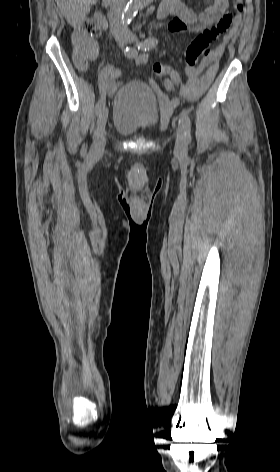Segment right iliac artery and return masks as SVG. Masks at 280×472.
I'll return each mask as SVG.
<instances>
[{
    "label": "right iliac artery",
    "instance_id": "82829eb1",
    "mask_svg": "<svg viewBox=\"0 0 280 472\" xmlns=\"http://www.w3.org/2000/svg\"><path fill=\"white\" fill-rule=\"evenodd\" d=\"M124 54L128 58H135L137 56V50L135 48L126 47ZM114 67L106 66L102 69L99 75V88H100V99L96 104V113L98 114L101 109L105 106L106 89L108 85V78L112 74Z\"/></svg>",
    "mask_w": 280,
    "mask_h": 472
}]
</instances>
